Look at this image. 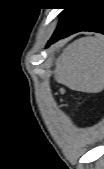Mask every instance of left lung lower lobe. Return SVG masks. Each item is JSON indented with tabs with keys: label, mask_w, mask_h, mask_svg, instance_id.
I'll return each instance as SVG.
<instances>
[{
	"label": "left lung lower lobe",
	"mask_w": 104,
	"mask_h": 169,
	"mask_svg": "<svg viewBox=\"0 0 104 169\" xmlns=\"http://www.w3.org/2000/svg\"><path fill=\"white\" fill-rule=\"evenodd\" d=\"M58 25L47 46L59 39L80 31H94L104 34V12L93 3L82 2L72 8Z\"/></svg>",
	"instance_id": "1"
}]
</instances>
